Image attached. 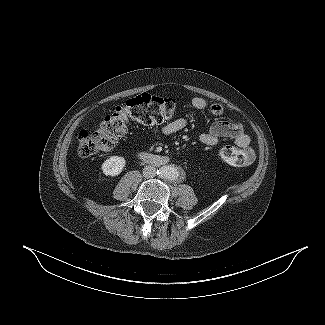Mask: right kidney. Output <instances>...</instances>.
Listing matches in <instances>:
<instances>
[{"label":"right kidney","instance_id":"obj_1","mask_svg":"<svg viewBox=\"0 0 325 325\" xmlns=\"http://www.w3.org/2000/svg\"><path fill=\"white\" fill-rule=\"evenodd\" d=\"M126 165V160L121 156H111L102 164V171L106 176L119 175Z\"/></svg>","mask_w":325,"mask_h":325}]
</instances>
